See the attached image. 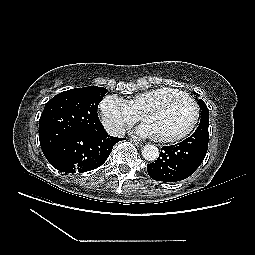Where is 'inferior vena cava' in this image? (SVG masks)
<instances>
[{"label":"inferior vena cava","instance_id":"obj_1","mask_svg":"<svg viewBox=\"0 0 255 255\" xmlns=\"http://www.w3.org/2000/svg\"><path fill=\"white\" fill-rule=\"evenodd\" d=\"M107 132L109 135L114 136V137H124L125 136V130L122 126L118 124L110 125L107 128Z\"/></svg>","mask_w":255,"mask_h":255}]
</instances>
